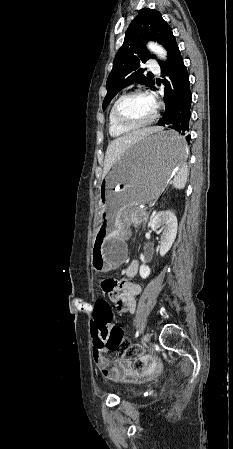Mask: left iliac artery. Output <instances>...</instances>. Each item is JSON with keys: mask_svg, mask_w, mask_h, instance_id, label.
<instances>
[{"mask_svg": "<svg viewBox=\"0 0 233 449\" xmlns=\"http://www.w3.org/2000/svg\"><path fill=\"white\" fill-rule=\"evenodd\" d=\"M139 336V331L136 332L135 337L137 338Z\"/></svg>", "mask_w": 233, "mask_h": 449, "instance_id": "1", "label": "left iliac artery"}]
</instances>
